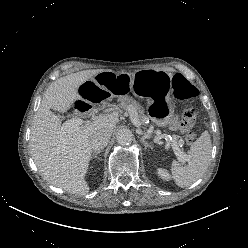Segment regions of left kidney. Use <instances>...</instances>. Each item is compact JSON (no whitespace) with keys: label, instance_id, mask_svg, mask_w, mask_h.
Wrapping results in <instances>:
<instances>
[{"label":"left kidney","instance_id":"5707ae66","mask_svg":"<svg viewBox=\"0 0 248 248\" xmlns=\"http://www.w3.org/2000/svg\"><path fill=\"white\" fill-rule=\"evenodd\" d=\"M157 173L163 180L168 181L170 179V175L165 169L159 168Z\"/></svg>","mask_w":248,"mask_h":248}]
</instances>
